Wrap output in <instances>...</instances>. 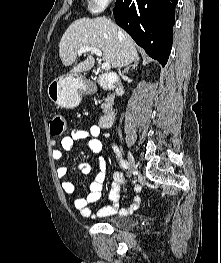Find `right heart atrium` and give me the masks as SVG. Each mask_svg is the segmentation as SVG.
I'll use <instances>...</instances> for the list:
<instances>
[{
	"label": "right heart atrium",
	"instance_id": "obj_1",
	"mask_svg": "<svg viewBox=\"0 0 221 263\" xmlns=\"http://www.w3.org/2000/svg\"><path fill=\"white\" fill-rule=\"evenodd\" d=\"M113 0H87L88 9L96 14L102 12Z\"/></svg>",
	"mask_w": 221,
	"mask_h": 263
}]
</instances>
